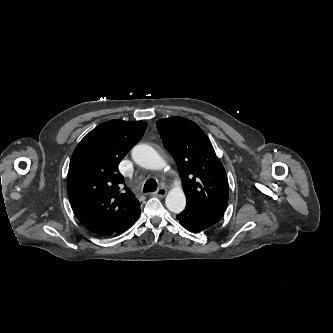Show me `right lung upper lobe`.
Wrapping results in <instances>:
<instances>
[{"instance_id": "cb5924a9", "label": "right lung upper lobe", "mask_w": 333, "mask_h": 333, "mask_svg": "<svg viewBox=\"0 0 333 333\" xmlns=\"http://www.w3.org/2000/svg\"><path fill=\"white\" fill-rule=\"evenodd\" d=\"M146 128L144 121L114 119L94 128L75 148L67 193L75 216L89 231L116 235L140 215V203L124 186L118 165Z\"/></svg>"}]
</instances>
